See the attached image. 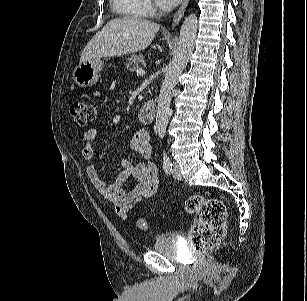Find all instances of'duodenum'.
<instances>
[{
	"mask_svg": "<svg viewBox=\"0 0 307 301\" xmlns=\"http://www.w3.org/2000/svg\"><path fill=\"white\" fill-rule=\"evenodd\" d=\"M156 116V104L154 101H147L138 110V119L144 124H151Z\"/></svg>",
	"mask_w": 307,
	"mask_h": 301,
	"instance_id": "duodenum-1",
	"label": "duodenum"
}]
</instances>
